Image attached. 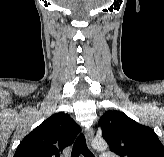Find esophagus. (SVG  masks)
Instances as JSON below:
<instances>
[{
    "label": "esophagus",
    "instance_id": "esophagus-1",
    "mask_svg": "<svg viewBox=\"0 0 164 157\" xmlns=\"http://www.w3.org/2000/svg\"><path fill=\"white\" fill-rule=\"evenodd\" d=\"M86 139L88 140L89 143L93 140L94 137V131L93 129H89L85 131Z\"/></svg>",
    "mask_w": 164,
    "mask_h": 157
}]
</instances>
